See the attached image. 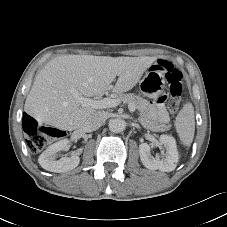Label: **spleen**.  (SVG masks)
Listing matches in <instances>:
<instances>
[{
	"label": "spleen",
	"instance_id": "3e777b00",
	"mask_svg": "<svg viewBox=\"0 0 227 227\" xmlns=\"http://www.w3.org/2000/svg\"><path fill=\"white\" fill-rule=\"evenodd\" d=\"M175 126L182 144L190 146L195 133V116L192 103L184 104L176 117Z\"/></svg>",
	"mask_w": 227,
	"mask_h": 227
}]
</instances>
